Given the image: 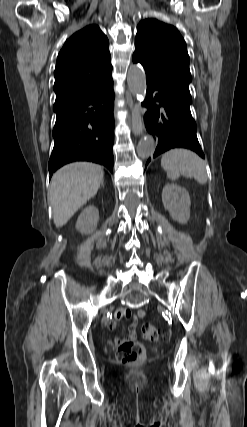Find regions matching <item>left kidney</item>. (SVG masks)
<instances>
[{
    "mask_svg": "<svg viewBox=\"0 0 247 427\" xmlns=\"http://www.w3.org/2000/svg\"><path fill=\"white\" fill-rule=\"evenodd\" d=\"M162 202L171 218L186 224L190 218L191 200L188 191L175 183H168L162 190Z\"/></svg>",
    "mask_w": 247,
    "mask_h": 427,
    "instance_id": "1",
    "label": "left kidney"
}]
</instances>
